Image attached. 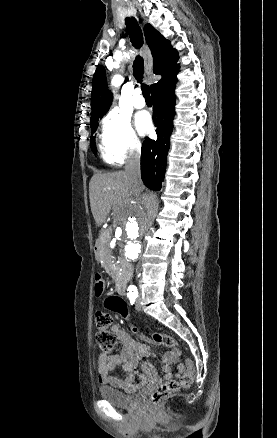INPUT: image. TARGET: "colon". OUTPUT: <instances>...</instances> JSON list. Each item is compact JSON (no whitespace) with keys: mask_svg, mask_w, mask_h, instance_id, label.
Returning <instances> with one entry per match:
<instances>
[{"mask_svg":"<svg viewBox=\"0 0 277 438\" xmlns=\"http://www.w3.org/2000/svg\"><path fill=\"white\" fill-rule=\"evenodd\" d=\"M95 286L94 295L100 298L104 295L107 288V281L104 275L96 272L94 275ZM112 322V316L109 312L97 311L94 316V324L98 329L96 333V343L102 353L111 352L118 342L117 335L108 331L107 328ZM157 344H163L167 347H177V341L169 336H164L159 332H154L149 338H144ZM193 382V372L183 373L179 380H164L160 389H150L146 395V407L148 409H157L159 402H164L165 398L171 396L180 389L189 387Z\"/></svg>","mask_w":277,"mask_h":438,"instance_id":"5ec220e1","label":"colon"}]
</instances>
